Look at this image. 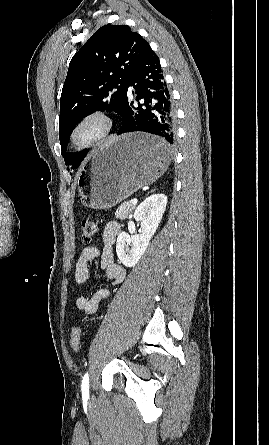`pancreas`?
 I'll return each mask as SVG.
<instances>
[{
    "label": "pancreas",
    "instance_id": "obj_1",
    "mask_svg": "<svg viewBox=\"0 0 269 445\" xmlns=\"http://www.w3.org/2000/svg\"><path fill=\"white\" fill-rule=\"evenodd\" d=\"M135 205L132 204L130 201L129 202H124L122 203L118 209L115 212V217L117 219H125L128 217V215L130 214V212H132V210H134Z\"/></svg>",
    "mask_w": 269,
    "mask_h": 445
}]
</instances>
